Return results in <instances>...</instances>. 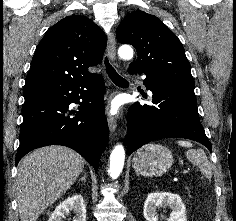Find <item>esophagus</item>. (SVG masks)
Wrapping results in <instances>:
<instances>
[{
  "label": "esophagus",
  "mask_w": 236,
  "mask_h": 221,
  "mask_svg": "<svg viewBox=\"0 0 236 221\" xmlns=\"http://www.w3.org/2000/svg\"><path fill=\"white\" fill-rule=\"evenodd\" d=\"M107 52L109 55V58L114 61L116 58V40L115 36L113 33H110L108 35V40H107ZM108 127L111 132H114L117 127V122L116 119L113 116H108Z\"/></svg>",
  "instance_id": "1"
}]
</instances>
